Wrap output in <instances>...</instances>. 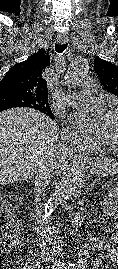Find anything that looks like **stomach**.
<instances>
[{
	"mask_svg": "<svg viewBox=\"0 0 118 269\" xmlns=\"http://www.w3.org/2000/svg\"><path fill=\"white\" fill-rule=\"evenodd\" d=\"M84 167L98 177H112L118 174V162L114 158L101 157Z\"/></svg>",
	"mask_w": 118,
	"mask_h": 269,
	"instance_id": "stomach-1",
	"label": "stomach"
}]
</instances>
